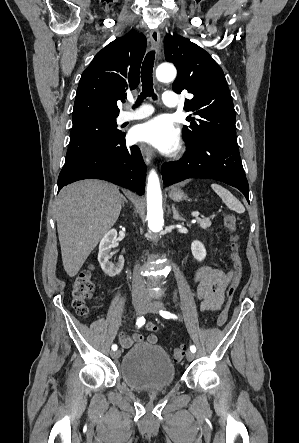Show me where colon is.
<instances>
[{"label": "colon", "instance_id": "5ec220e1", "mask_svg": "<svg viewBox=\"0 0 299 443\" xmlns=\"http://www.w3.org/2000/svg\"><path fill=\"white\" fill-rule=\"evenodd\" d=\"M224 226L230 232V249H231V259L233 264L232 279L228 287L226 294V304L219 314L216 325L223 326L229 315L230 304L234 298L236 289L238 288L242 272L243 265L239 254V230L238 221L236 216L228 214L224 217ZM95 285L93 281V268L88 267L82 270L74 280L72 287V306L82 317H87L89 315V308L87 301L90 298L92 292L94 291ZM185 353L184 347H176L172 352V356L175 360L180 361L183 359Z\"/></svg>", "mask_w": 299, "mask_h": 443}]
</instances>
